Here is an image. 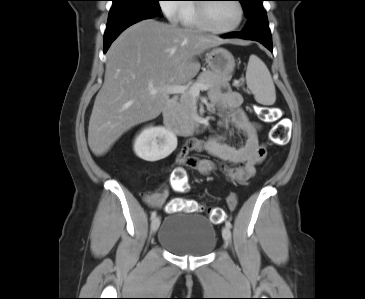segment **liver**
Returning a JSON list of instances; mask_svg holds the SVG:
<instances>
[{
    "label": "liver",
    "mask_w": 365,
    "mask_h": 299,
    "mask_svg": "<svg viewBox=\"0 0 365 299\" xmlns=\"http://www.w3.org/2000/svg\"><path fill=\"white\" fill-rule=\"evenodd\" d=\"M225 40L191 28L143 20L126 29L106 54L104 83L98 92L88 127V145L102 156L129 129L155 119L169 93L200 70L195 56ZM158 90L152 95L150 88Z\"/></svg>",
    "instance_id": "6515ba94"
}]
</instances>
